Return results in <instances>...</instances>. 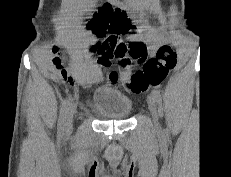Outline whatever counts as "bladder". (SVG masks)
I'll return each mask as SVG.
<instances>
[{
  "label": "bladder",
  "instance_id": "bladder-1",
  "mask_svg": "<svg viewBox=\"0 0 231 177\" xmlns=\"http://www.w3.org/2000/svg\"><path fill=\"white\" fill-rule=\"evenodd\" d=\"M92 105L102 118L108 120H125L132 112V100L129 97L106 87L95 90Z\"/></svg>",
  "mask_w": 231,
  "mask_h": 177
}]
</instances>
